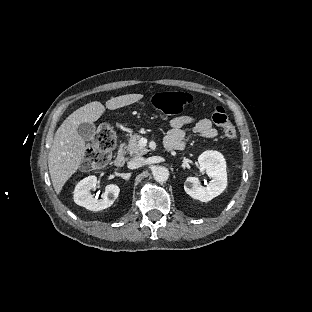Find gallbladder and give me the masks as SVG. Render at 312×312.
Listing matches in <instances>:
<instances>
[{"mask_svg": "<svg viewBox=\"0 0 312 312\" xmlns=\"http://www.w3.org/2000/svg\"><path fill=\"white\" fill-rule=\"evenodd\" d=\"M95 130V125L89 122L81 123L77 128L78 134L86 141H90L94 137Z\"/></svg>", "mask_w": 312, "mask_h": 312, "instance_id": "bac80fb5", "label": "gallbladder"}]
</instances>
